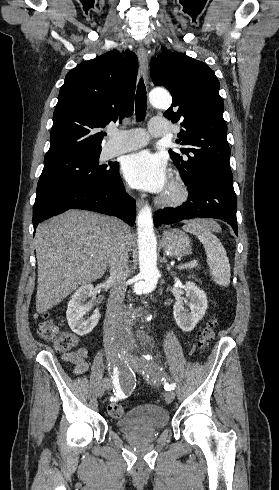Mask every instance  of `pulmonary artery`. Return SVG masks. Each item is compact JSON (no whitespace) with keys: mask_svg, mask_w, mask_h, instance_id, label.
<instances>
[{"mask_svg":"<svg viewBox=\"0 0 279 490\" xmlns=\"http://www.w3.org/2000/svg\"><path fill=\"white\" fill-rule=\"evenodd\" d=\"M149 123L152 128L150 133L153 136L163 135L174 127L169 125L164 117H151ZM142 134L143 136L139 137ZM110 135L112 145L106 146L104 150L105 156L109 158L139 149L149 140L139 128H111Z\"/></svg>","mask_w":279,"mask_h":490,"instance_id":"e3ab8cb5","label":"pulmonary artery"}]
</instances>
